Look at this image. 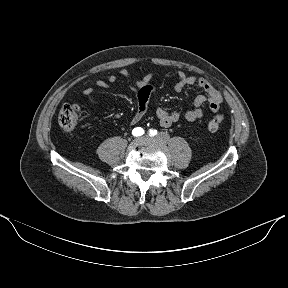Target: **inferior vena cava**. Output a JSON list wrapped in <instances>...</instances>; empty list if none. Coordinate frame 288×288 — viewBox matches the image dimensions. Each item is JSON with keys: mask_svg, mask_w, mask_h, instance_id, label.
Segmentation results:
<instances>
[{"mask_svg": "<svg viewBox=\"0 0 288 288\" xmlns=\"http://www.w3.org/2000/svg\"><path fill=\"white\" fill-rule=\"evenodd\" d=\"M157 141L161 144H166L168 142V135L166 133H159L157 135Z\"/></svg>", "mask_w": 288, "mask_h": 288, "instance_id": "1", "label": "inferior vena cava"}]
</instances>
